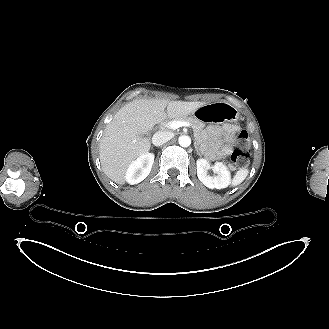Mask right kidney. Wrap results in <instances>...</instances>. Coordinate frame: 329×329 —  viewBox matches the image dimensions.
<instances>
[{"instance_id": "ca27d5eb", "label": "right kidney", "mask_w": 329, "mask_h": 329, "mask_svg": "<svg viewBox=\"0 0 329 329\" xmlns=\"http://www.w3.org/2000/svg\"><path fill=\"white\" fill-rule=\"evenodd\" d=\"M154 163V154L145 153L132 162L127 169L125 180L133 185L143 181L150 173Z\"/></svg>"}]
</instances>
